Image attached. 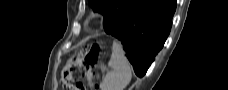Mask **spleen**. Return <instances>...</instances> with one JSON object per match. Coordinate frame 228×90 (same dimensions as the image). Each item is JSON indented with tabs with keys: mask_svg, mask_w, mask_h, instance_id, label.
<instances>
[{
	"mask_svg": "<svg viewBox=\"0 0 228 90\" xmlns=\"http://www.w3.org/2000/svg\"><path fill=\"white\" fill-rule=\"evenodd\" d=\"M108 66L111 70L102 79L101 90H124L131 80L132 73L124 50L117 41L113 42Z\"/></svg>",
	"mask_w": 228,
	"mask_h": 90,
	"instance_id": "spleen-1",
	"label": "spleen"
}]
</instances>
